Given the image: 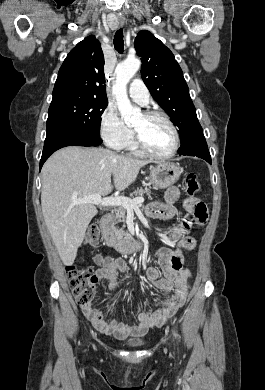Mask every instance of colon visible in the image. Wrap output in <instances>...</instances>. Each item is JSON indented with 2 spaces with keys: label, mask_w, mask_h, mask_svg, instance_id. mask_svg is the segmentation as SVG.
Masks as SVG:
<instances>
[{
  "label": "colon",
  "mask_w": 265,
  "mask_h": 390,
  "mask_svg": "<svg viewBox=\"0 0 265 390\" xmlns=\"http://www.w3.org/2000/svg\"><path fill=\"white\" fill-rule=\"evenodd\" d=\"M185 190L188 195H195L200 190V184L196 175L189 173L184 178ZM100 235L99 227L92 224L87 231L86 241L94 246L98 243ZM71 292L80 306L91 304L95 297V286L98 278L91 268H80L77 266H68L66 268Z\"/></svg>",
  "instance_id": "colon-1"
}]
</instances>
